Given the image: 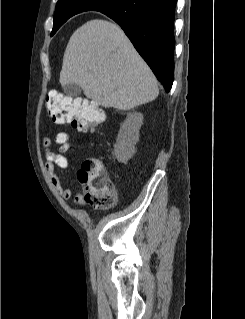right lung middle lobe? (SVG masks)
<instances>
[{
	"label": "right lung middle lobe",
	"instance_id": "right-lung-middle-lobe-1",
	"mask_svg": "<svg viewBox=\"0 0 245 319\" xmlns=\"http://www.w3.org/2000/svg\"><path fill=\"white\" fill-rule=\"evenodd\" d=\"M121 1L123 0H83L80 6L83 8L84 11H100L115 6ZM70 4L71 2L65 0L57 2L56 11L54 14V27L51 35H53L59 29L61 23L67 18L69 13L68 7L70 6Z\"/></svg>",
	"mask_w": 245,
	"mask_h": 319
}]
</instances>
